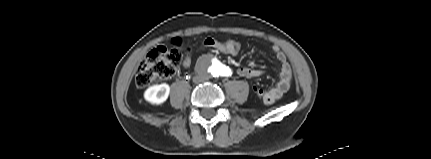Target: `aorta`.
I'll return each instance as SVG.
<instances>
[{
    "label": "aorta",
    "mask_w": 431,
    "mask_h": 159,
    "mask_svg": "<svg viewBox=\"0 0 431 159\" xmlns=\"http://www.w3.org/2000/svg\"><path fill=\"white\" fill-rule=\"evenodd\" d=\"M206 70L210 75L219 77L225 73L226 67L220 62H212L207 66Z\"/></svg>",
    "instance_id": "762f6f07"
}]
</instances>
